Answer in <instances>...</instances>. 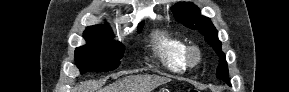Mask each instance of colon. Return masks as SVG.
Wrapping results in <instances>:
<instances>
[{
    "mask_svg": "<svg viewBox=\"0 0 289 92\" xmlns=\"http://www.w3.org/2000/svg\"><path fill=\"white\" fill-rule=\"evenodd\" d=\"M189 92H197V91L194 89H190Z\"/></svg>",
    "mask_w": 289,
    "mask_h": 92,
    "instance_id": "obj_1",
    "label": "colon"
}]
</instances>
